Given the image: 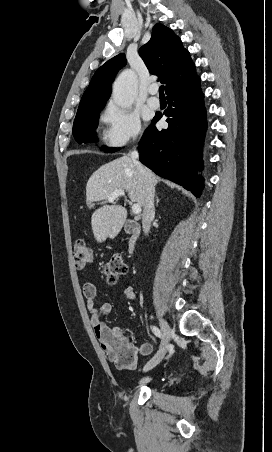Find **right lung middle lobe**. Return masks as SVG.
Wrapping results in <instances>:
<instances>
[{
	"instance_id": "dd1d6c3e",
	"label": "right lung middle lobe",
	"mask_w": 272,
	"mask_h": 452,
	"mask_svg": "<svg viewBox=\"0 0 272 452\" xmlns=\"http://www.w3.org/2000/svg\"><path fill=\"white\" fill-rule=\"evenodd\" d=\"M104 106H96L78 111L73 124V135L78 143H88L97 140L94 130L98 125V116ZM105 152H114L116 148H104Z\"/></svg>"
}]
</instances>
